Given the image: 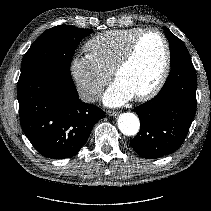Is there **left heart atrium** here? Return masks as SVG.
<instances>
[{
	"instance_id": "39dd6f15",
	"label": "left heart atrium",
	"mask_w": 211,
	"mask_h": 211,
	"mask_svg": "<svg viewBox=\"0 0 211 211\" xmlns=\"http://www.w3.org/2000/svg\"><path fill=\"white\" fill-rule=\"evenodd\" d=\"M133 93L119 81H115L104 94V103L108 106H120L133 98Z\"/></svg>"
}]
</instances>
